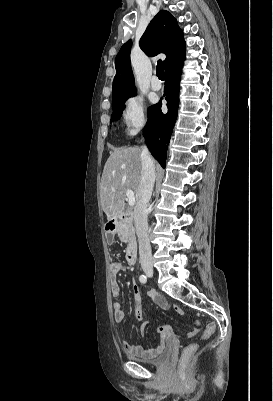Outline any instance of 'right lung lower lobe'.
I'll use <instances>...</instances> for the list:
<instances>
[{
    "label": "right lung lower lobe",
    "instance_id": "1",
    "mask_svg": "<svg viewBox=\"0 0 273 401\" xmlns=\"http://www.w3.org/2000/svg\"><path fill=\"white\" fill-rule=\"evenodd\" d=\"M184 61V60H183ZM183 61L170 67L166 72L164 97L168 112L161 111V101L153 105L149 111V121L144 129L147 146L160 165L165 168L167 148L177 118L179 105V83Z\"/></svg>",
    "mask_w": 273,
    "mask_h": 401
}]
</instances>
